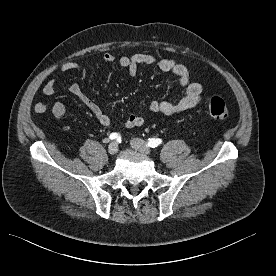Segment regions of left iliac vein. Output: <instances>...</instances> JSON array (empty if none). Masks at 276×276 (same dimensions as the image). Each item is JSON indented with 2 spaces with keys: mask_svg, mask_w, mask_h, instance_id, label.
Returning <instances> with one entry per match:
<instances>
[{
  "mask_svg": "<svg viewBox=\"0 0 276 276\" xmlns=\"http://www.w3.org/2000/svg\"><path fill=\"white\" fill-rule=\"evenodd\" d=\"M132 148L135 150L139 151L140 153L144 155H150L151 154V149L150 147L143 141L142 139L139 138H134L130 142Z\"/></svg>",
  "mask_w": 276,
  "mask_h": 276,
  "instance_id": "4c4485c4",
  "label": "left iliac vein"
}]
</instances>
